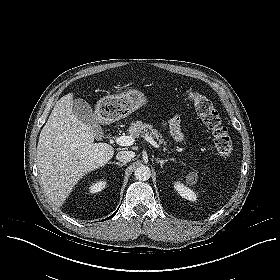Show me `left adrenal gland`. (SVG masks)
I'll list each match as a JSON object with an SVG mask.
<instances>
[{
	"instance_id": "a2214340",
	"label": "left adrenal gland",
	"mask_w": 280,
	"mask_h": 280,
	"mask_svg": "<svg viewBox=\"0 0 280 280\" xmlns=\"http://www.w3.org/2000/svg\"><path fill=\"white\" fill-rule=\"evenodd\" d=\"M156 161H157V163H160V165L163 167V164H165L168 161H174V158H168L165 160H161V159L157 158Z\"/></svg>"
}]
</instances>
